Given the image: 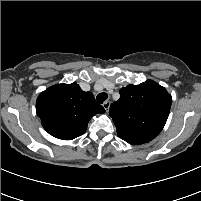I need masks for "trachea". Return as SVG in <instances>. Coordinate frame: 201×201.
<instances>
[{
    "instance_id": "obj_1",
    "label": "trachea",
    "mask_w": 201,
    "mask_h": 201,
    "mask_svg": "<svg viewBox=\"0 0 201 201\" xmlns=\"http://www.w3.org/2000/svg\"><path fill=\"white\" fill-rule=\"evenodd\" d=\"M108 98V95L105 92L99 93L96 97L99 103H103Z\"/></svg>"
}]
</instances>
